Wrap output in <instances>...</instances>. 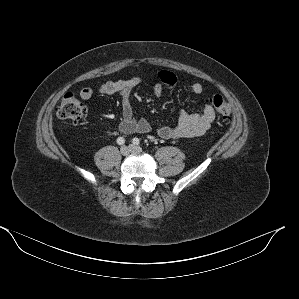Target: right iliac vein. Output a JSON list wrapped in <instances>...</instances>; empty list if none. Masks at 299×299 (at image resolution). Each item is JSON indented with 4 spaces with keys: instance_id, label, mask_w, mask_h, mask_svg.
<instances>
[{
    "instance_id": "obj_1",
    "label": "right iliac vein",
    "mask_w": 299,
    "mask_h": 299,
    "mask_svg": "<svg viewBox=\"0 0 299 299\" xmlns=\"http://www.w3.org/2000/svg\"><path fill=\"white\" fill-rule=\"evenodd\" d=\"M120 153L123 156H127L130 153V148L128 146H122L121 149H120Z\"/></svg>"
}]
</instances>
